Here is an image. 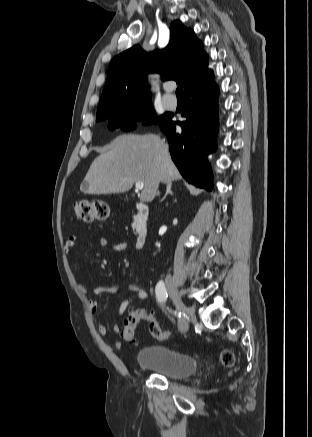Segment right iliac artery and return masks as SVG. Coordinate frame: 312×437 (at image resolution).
Segmentation results:
<instances>
[{
  "instance_id": "obj_1",
  "label": "right iliac artery",
  "mask_w": 312,
  "mask_h": 437,
  "mask_svg": "<svg viewBox=\"0 0 312 437\" xmlns=\"http://www.w3.org/2000/svg\"><path fill=\"white\" fill-rule=\"evenodd\" d=\"M156 297L161 305L164 306V303L168 297L166 287L163 281H159L155 288ZM174 315H177L179 318L181 317V312L177 313L176 311L169 310Z\"/></svg>"
}]
</instances>
